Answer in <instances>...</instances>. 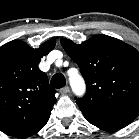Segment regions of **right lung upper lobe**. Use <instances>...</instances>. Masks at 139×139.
Returning <instances> with one entry per match:
<instances>
[{
	"mask_svg": "<svg viewBox=\"0 0 139 139\" xmlns=\"http://www.w3.org/2000/svg\"><path fill=\"white\" fill-rule=\"evenodd\" d=\"M55 46L49 40L33 49L20 40L0 47V130L17 136L50 116L55 89L38 68L42 56Z\"/></svg>",
	"mask_w": 139,
	"mask_h": 139,
	"instance_id": "1",
	"label": "right lung upper lobe"
}]
</instances>
